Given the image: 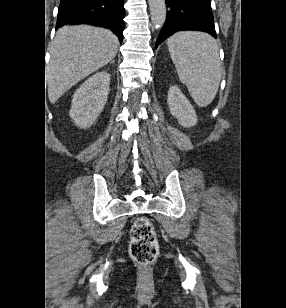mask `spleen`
<instances>
[{
	"mask_svg": "<svg viewBox=\"0 0 286 308\" xmlns=\"http://www.w3.org/2000/svg\"><path fill=\"white\" fill-rule=\"evenodd\" d=\"M167 45L181 83L198 106H208L221 80L216 40L204 32L180 31L169 37Z\"/></svg>",
	"mask_w": 286,
	"mask_h": 308,
	"instance_id": "obj_1",
	"label": "spleen"
}]
</instances>
